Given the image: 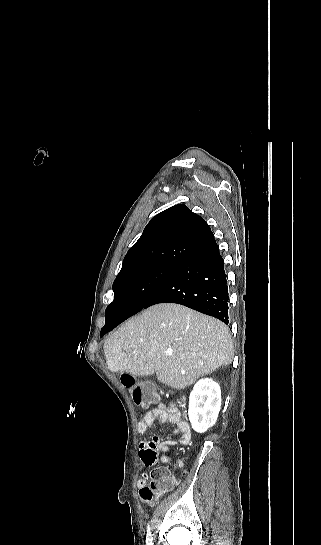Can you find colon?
I'll return each mask as SVG.
<instances>
[{"label":"colon","instance_id":"1","mask_svg":"<svg viewBox=\"0 0 321 545\" xmlns=\"http://www.w3.org/2000/svg\"><path fill=\"white\" fill-rule=\"evenodd\" d=\"M121 382L129 390L134 403L140 407H148L157 399L156 391L150 384L139 381L132 375H122ZM156 441L157 439L154 438V440L142 446V454L147 459L153 460L156 458ZM174 485L175 482L168 476L154 471L151 475L150 484L140 488V497L146 504H155Z\"/></svg>","mask_w":321,"mask_h":545}]
</instances>
